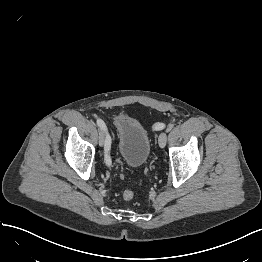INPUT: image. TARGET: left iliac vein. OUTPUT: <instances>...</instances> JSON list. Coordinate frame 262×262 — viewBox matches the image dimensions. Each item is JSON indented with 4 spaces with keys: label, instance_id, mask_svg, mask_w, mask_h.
Here are the masks:
<instances>
[{
    "label": "left iliac vein",
    "instance_id": "1",
    "mask_svg": "<svg viewBox=\"0 0 262 262\" xmlns=\"http://www.w3.org/2000/svg\"><path fill=\"white\" fill-rule=\"evenodd\" d=\"M166 141H167V135L165 132H162L160 135H159V139H158V142H159V146L161 148H164L165 145H166Z\"/></svg>",
    "mask_w": 262,
    "mask_h": 262
}]
</instances>
